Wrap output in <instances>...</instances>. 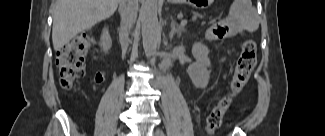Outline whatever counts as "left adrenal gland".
Instances as JSON below:
<instances>
[{"instance_id":"1","label":"left adrenal gland","mask_w":325,"mask_h":136,"mask_svg":"<svg viewBox=\"0 0 325 136\" xmlns=\"http://www.w3.org/2000/svg\"><path fill=\"white\" fill-rule=\"evenodd\" d=\"M183 28L184 27L182 25L176 24L175 20L172 19L171 31H170V34H169L170 40H172V38L174 37L175 34L180 36L181 32L183 31Z\"/></svg>"}]
</instances>
